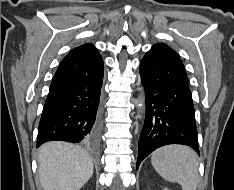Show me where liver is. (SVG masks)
I'll list each match as a JSON object with an SVG mask.
<instances>
[{
	"label": "liver",
	"instance_id": "6515ba94",
	"mask_svg": "<svg viewBox=\"0 0 234 190\" xmlns=\"http://www.w3.org/2000/svg\"><path fill=\"white\" fill-rule=\"evenodd\" d=\"M43 190H80L92 177L93 161L80 147L65 142H48L38 154Z\"/></svg>",
	"mask_w": 234,
	"mask_h": 190
}]
</instances>
